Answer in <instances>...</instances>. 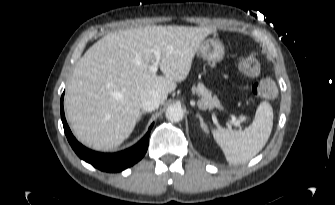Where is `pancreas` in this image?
I'll return each mask as SVG.
<instances>
[{
	"instance_id": "obj_1",
	"label": "pancreas",
	"mask_w": 335,
	"mask_h": 205,
	"mask_svg": "<svg viewBox=\"0 0 335 205\" xmlns=\"http://www.w3.org/2000/svg\"><path fill=\"white\" fill-rule=\"evenodd\" d=\"M192 90L198 95H201V99L198 101V106L201 109L220 107L218 98L216 96H212V92L208 90L204 84L199 83L197 86H193Z\"/></svg>"
}]
</instances>
